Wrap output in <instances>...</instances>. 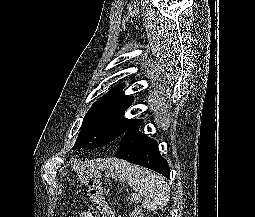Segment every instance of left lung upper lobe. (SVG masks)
<instances>
[{
	"instance_id": "1",
	"label": "left lung upper lobe",
	"mask_w": 255,
	"mask_h": 217,
	"mask_svg": "<svg viewBox=\"0 0 255 217\" xmlns=\"http://www.w3.org/2000/svg\"><path fill=\"white\" fill-rule=\"evenodd\" d=\"M124 84L111 88L87 112L73 148H98L114 140H121L128 128L137 120L127 119L124 112L133 98L126 96Z\"/></svg>"
}]
</instances>
